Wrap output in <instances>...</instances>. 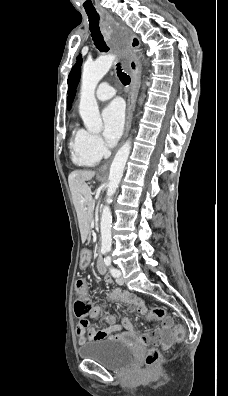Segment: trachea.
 <instances>
[{
  "mask_svg": "<svg viewBox=\"0 0 228 396\" xmlns=\"http://www.w3.org/2000/svg\"><path fill=\"white\" fill-rule=\"evenodd\" d=\"M86 13L89 18V29L94 45L100 52H108L109 48L104 41L103 35L99 27V14L96 10L86 11ZM117 75L123 85H128L130 83L129 75L122 71V68L119 64H117Z\"/></svg>",
  "mask_w": 228,
  "mask_h": 396,
  "instance_id": "3493384b",
  "label": "trachea"
}]
</instances>
